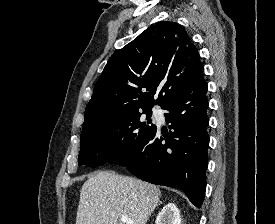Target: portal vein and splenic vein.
Masks as SVG:
<instances>
[{"instance_id":"1","label":"portal vein and splenic vein","mask_w":275,"mask_h":224,"mask_svg":"<svg viewBox=\"0 0 275 224\" xmlns=\"http://www.w3.org/2000/svg\"><path fill=\"white\" fill-rule=\"evenodd\" d=\"M120 221L124 224H133L132 221L130 219H128V217H126V216H122L120 218Z\"/></svg>"}]
</instances>
